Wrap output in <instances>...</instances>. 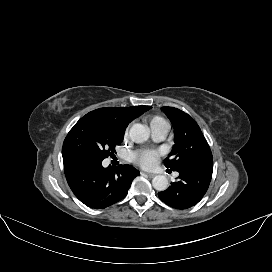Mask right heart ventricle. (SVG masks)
Wrapping results in <instances>:
<instances>
[{
  "instance_id": "obj_1",
  "label": "right heart ventricle",
  "mask_w": 272,
  "mask_h": 272,
  "mask_svg": "<svg viewBox=\"0 0 272 272\" xmlns=\"http://www.w3.org/2000/svg\"><path fill=\"white\" fill-rule=\"evenodd\" d=\"M151 130L160 128L162 126H168L167 122L160 116H152L148 120Z\"/></svg>"
}]
</instances>
